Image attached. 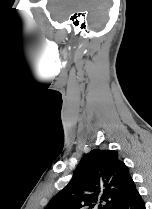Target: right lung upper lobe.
<instances>
[{
  "mask_svg": "<svg viewBox=\"0 0 152 209\" xmlns=\"http://www.w3.org/2000/svg\"><path fill=\"white\" fill-rule=\"evenodd\" d=\"M135 188L118 152L94 149L78 165L71 181L45 209H112Z\"/></svg>",
  "mask_w": 152,
  "mask_h": 209,
  "instance_id": "1",
  "label": "right lung upper lobe"
}]
</instances>
